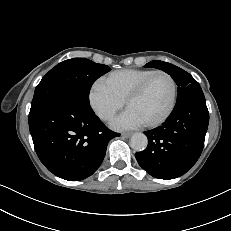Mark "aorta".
<instances>
[{"instance_id": "aorta-1", "label": "aorta", "mask_w": 231, "mask_h": 231, "mask_svg": "<svg viewBox=\"0 0 231 231\" xmlns=\"http://www.w3.org/2000/svg\"><path fill=\"white\" fill-rule=\"evenodd\" d=\"M148 140L143 133H134L130 139V146L135 151H142L147 147Z\"/></svg>"}]
</instances>
